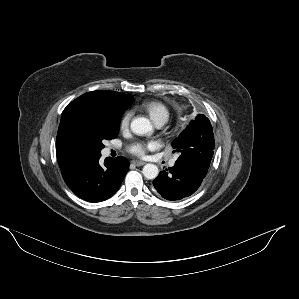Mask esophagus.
<instances>
[{
	"mask_svg": "<svg viewBox=\"0 0 299 299\" xmlns=\"http://www.w3.org/2000/svg\"><path fill=\"white\" fill-rule=\"evenodd\" d=\"M132 164H134L135 166H143L145 162L140 160H132Z\"/></svg>",
	"mask_w": 299,
	"mask_h": 299,
	"instance_id": "34e87169",
	"label": "esophagus"
}]
</instances>
